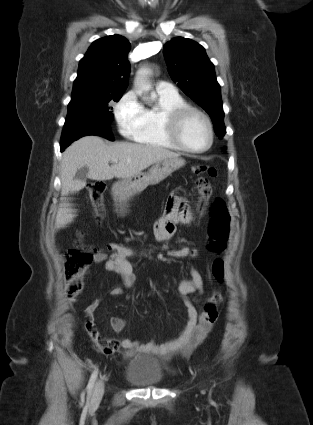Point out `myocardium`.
Masks as SVG:
<instances>
[{
  "mask_svg": "<svg viewBox=\"0 0 313 425\" xmlns=\"http://www.w3.org/2000/svg\"><path fill=\"white\" fill-rule=\"evenodd\" d=\"M192 115H197L199 117H201L204 122L207 125V129H208V133H209V141L207 143V145L203 148L200 149H193L190 148L188 145H186V143L184 142L183 138H182V129L183 126L186 122V120L192 116ZM165 124L167 127V133L169 138L183 151H186L188 153H203L206 152L207 150H209L214 142V129H213V124L211 119L209 118V116L203 112L202 110L193 107V106H189V105H185L176 109H173L171 111H169L168 113H166L165 117Z\"/></svg>",
  "mask_w": 313,
  "mask_h": 425,
  "instance_id": "obj_1",
  "label": "myocardium"
}]
</instances>
